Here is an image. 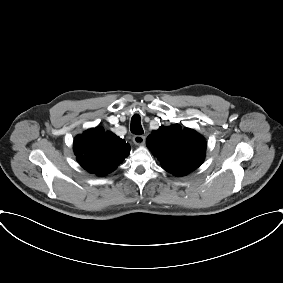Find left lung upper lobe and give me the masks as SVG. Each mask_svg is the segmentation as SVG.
Returning a JSON list of instances; mask_svg holds the SVG:
<instances>
[{
	"label": "left lung upper lobe",
	"mask_w": 283,
	"mask_h": 283,
	"mask_svg": "<svg viewBox=\"0 0 283 283\" xmlns=\"http://www.w3.org/2000/svg\"><path fill=\"white\" fill-rule=\"evenodd\" d=\"M146 145L160 160L162 168L176 176H182L201 165L206 142L192 129L161 126L147 137Z\"/></svg>",
	"instance_id": "1"
}]
</instances>
